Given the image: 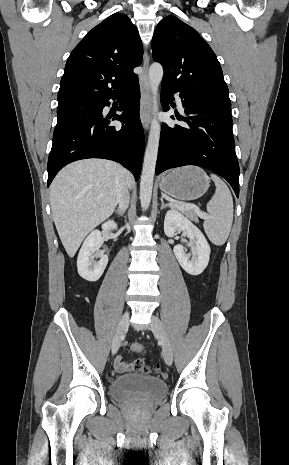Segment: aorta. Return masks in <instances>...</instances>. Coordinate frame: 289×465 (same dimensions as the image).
Returning <instances> with one entry per match:
<instances>
[{
	"instance_id": "1",
	"label": "aorta",
	"mask_w": 289,
	"mask_h": 465,
	"mask_svg": "<svg viewBox=\"0 0 289 465\" xmlns=\"http://www.w3.org/2000/svg\"><path fill=\"white\" fill-rule=\"evenodd\" d=\"M148 77L152 93L154 118L151 121L140 182V202L143 211L148 209L151 202L153 179L159 148L160 123L156 118V113L158 112V89L163 78L162 66L159 63H153L149 68Z\"/></svg>"
}]
</instances>
